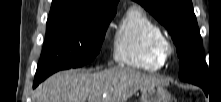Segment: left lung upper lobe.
<instances>
[{"label": "left lung upper lobe", "mask_w": 221, "mask_h": 102, "mask_svg": "<svg viewBox=\"0 0 221 102\" xmlns=\"http://www.w3.org/2000/svg\"><path fill=\"white\" fill-rule=\"evenodd\" d=\"M170 33L179 57V78L200 87L207 84L202 39L191 0H135Z\"/></svg>", "instance_id": "5c2ea615"}]
</instances>
